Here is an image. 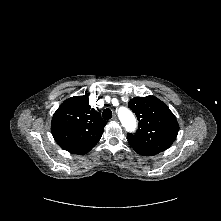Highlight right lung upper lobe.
Instances as JSON below:
<instances>
[{"instance_id": "right-lung-upper-lobe-1", "label": "right lung upper lobe", "mask_w": 221, "mask_h": 221, "mask_svg": "<svg viewBox=\"0 0 221 221\" xmlns=\"http://www.w3.org/2000/svg\"><path fill=\"white\" fill-rule=\"evenodd\" d=\"M88 94L65 100L54 113L51 132L59 146L73 154L88 153L107 124L89 105Z\"/></svg>"}]
</instances>
